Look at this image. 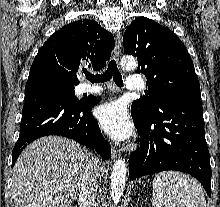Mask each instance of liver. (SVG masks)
Returning a JSON list of instances; mask_svg holds the SVG:
<instances>
[{"mask_svg":"<svg viewBox=\"0 0 220 207\" xmlns=\"http://www.w3.org/2000/svg\"><path fill=\"white\" fill-rule=\"evenodd\" d=\"M93 156L77 142L46 136L29 144L13 168L15 207H71ZM101 175L104 168H100Z\"/></svg>","mask_w":220,"mask_h":207,"instance_id":"obj_1","label":"liver"}]
</instances>
